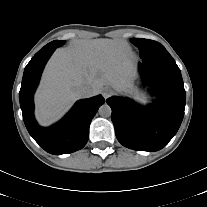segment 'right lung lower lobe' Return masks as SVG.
Here are the masks:
<instances>
[{
	"label": "right lung lower lobe",
	"instance_id": "obj_1",
	"mask_svg": "<svg viewBox=\"0 0 207 207\" xmlns=\"http://www.w3.org/2000/svg\"><path fill=\"white\" fill-rule=\"evenodd\" d=\"M54 50L36 53L27 64L19 98L23 120L29 134L48 153L61 155L75 152L85 146L91 120L105 100L102 95L79 100L58 123L47 128L39 126L34 118L33 95L42 70Z\"/></svg>",
	"mask_w": 207,
	"mask_h": 207
}]
</instances>
